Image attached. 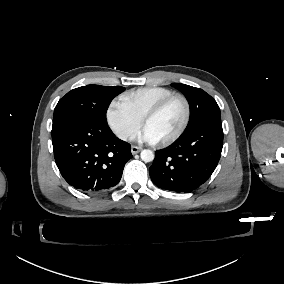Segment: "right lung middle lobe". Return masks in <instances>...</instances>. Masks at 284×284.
I'll list each match as a JSON object with an SVG mask.
<instances>
[{"label":"right lung middle lobe","instance_id":"right-lung-middle-lobe-1","mask_svg":"<svg viewBox=\"0 0 284 284\" xmlns=\"http://www.w3.org/2000/svg\"><path fill=\"white\" fill-rule=\"evenodd\" d=\"M124 91L121 86L87 85L68 92L54 109L52 131L69 120L86 118L107 124L106 112L114 97Z\"/></svg>","mask_w":284,"mask_h":284}]
</instances>
